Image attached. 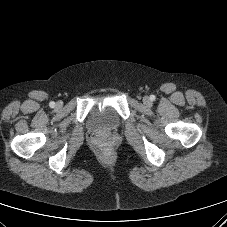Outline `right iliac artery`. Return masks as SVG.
Instances as JSON below:
<instances>
[{
	"label": "right iliac artery",
	"instance_id": "1",
	"mask_svg": "<svg viewBox=\"0 0 227 227\" xmlns=\"http://www.w3.org/2000/svg\"><path fill=\"white\" fill-rule=\"evenodd\" d=\"M49 106L53 108V107L55 106V102H53V101L50 102V103H49Z\"/></svg>",
	"mask_w": 227,
	"mask_h": 227
}]
</instances>
